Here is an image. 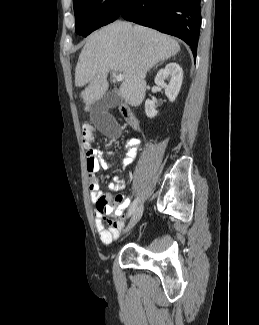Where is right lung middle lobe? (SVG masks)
Here are the masks:
<instances>
[{
    "mask_svg": "<svg viewBox=\"0 0 259 325\" xmlns=\"http://www.w3.org/2000/svg\"><path fill=\"white\" fill-rule=\"evenodd\" d=\"M126 0H73L75 30L87 36L101 26L115 21Z\"/></svg>",
    "mask_w": 259,
    "mask_h": 325,
    "instance_id": "obj_1",
    "label": "right lung middle lobe"
}]
</instances>
